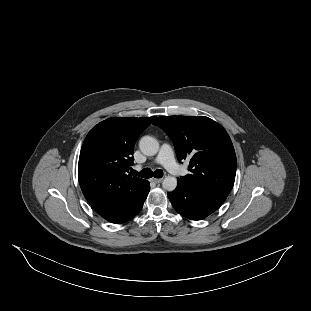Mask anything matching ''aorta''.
<instances>
[{
    "label": "aorta",
    "mask_w": 311,
    "mask_h": 311,
    "mask_svg": "<svg viewBox=\"0 0 311 311\" xmlns=\"http://www.w3.org/2000/svg\"><path fill=\"white\" fill-rule=\"evenodd\" d=\"M139 147L144 155L155 156L159 151L160 145L156 138L152 136H144L139 142ZM162 186L168 191L174 190L177 186V178L172 175L166 176L162 182Z\"/></svg>",
    "instance_id": "1"
}]
</instances>
